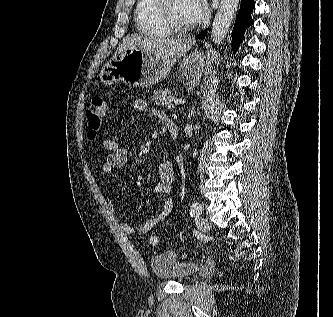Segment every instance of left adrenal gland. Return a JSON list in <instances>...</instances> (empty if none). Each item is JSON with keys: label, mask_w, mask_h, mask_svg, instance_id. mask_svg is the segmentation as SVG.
I'll use <instances>...</instances> for the list:
<instances>
[{"label": "left adrenal gland", "mask_w": 333, "mask_h": 317, "mask_svg": "<svg viewBox=\"0 0 333 317\" xmlns=\"http://www.w3.org/2000/svg\"><path fill=\"white\" fill-rule=\"evenodd\" d=\"M194 113H195V107H192L191 110L189 111L188 119H190L192 115H194Z\"/></svg>", "instance_id": "obj_1"}]
</instances>
